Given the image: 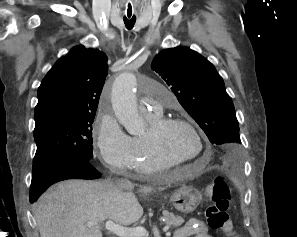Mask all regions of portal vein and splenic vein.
Returning <instances> with one entry per match:
<instances>
[{
  "mask_svg": "<svg viewBox=\"0 0 297 237\" xmlns=\"http://www.w3.org/2000/svg\"><path fill=\"white\" fill-rule=\"evenodd\" d=\"M86 226L88 227H98V222H87ZM105 228L119 237H148V232L144 227H135V228H127L120 224L114 223L112 220H108L105 222ZM169 230V226L163 227V231L167 232Z\"/></svg>",
  "mask_w": 297,
  "mask_h": 237,
  "instance_id": "1",
  "label": "portal vein and splenic vein"
}]
</instances>
